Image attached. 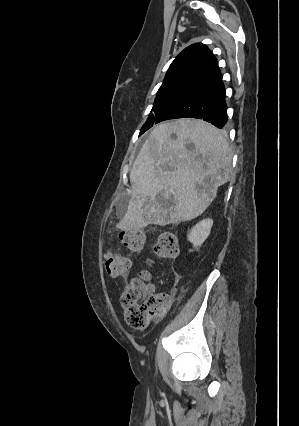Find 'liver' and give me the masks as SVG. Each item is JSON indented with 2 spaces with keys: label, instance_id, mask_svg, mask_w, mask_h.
<instances>
[{
  "label": "liver",
  "instance_id": "1",
  "mask_svg": "<svg viewBox=\"0 0 299 426\" xmlns=\"http://www.w3.org/2000/svg\"><path fill=\"white\" fill-rule=\"evenodd\" d=\"M231 161L226 137L210 123L178 119L157 125L131 168L132 196L117 228L139 230L198 217L230 180Z\"/></svg>",
  "mask_w": 299,
  "mask_h": 426
}]
</instances>
